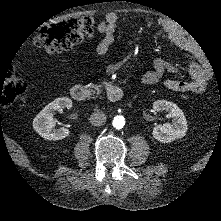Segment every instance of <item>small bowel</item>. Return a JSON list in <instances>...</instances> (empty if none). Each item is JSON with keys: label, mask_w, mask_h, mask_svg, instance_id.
I'll return each mask as SVG.
<instances>
[{"label": "small bowel", "mask_w": 221, "mask_h": 221, "mask_svg": "<svg viewBox=\"0 0 221 221\" xmlns=\"http://www.w3.org/2000/svg\"><path fill=\"white\" fill-rule=\"evenodd\" d=\"M118 16L116 13H108L106 15L105 21L98 24V32L103 35V38L96 46V54L98 56H104L108 53L111 46L115 41V31L117 28ZM162 23V21H160ZM164 37H169L171 41L177 45L179 48L191 51L193 48L192 42L184 37L176 35L171 29H167V33L163 34ZM125 60L114 62L108 65L107 71L113 73L120 69L124 64ZM176 74L179 72L177 65L162 59L157 58L153 62V70L147 71L142 76V82L144 84H156L161 79L162 75L165 73ZM188 72L191 80L183 79H166L164 81V86L175 92H192V93H202L207 88V83L209 79V73L198 63L191 61L188 64Z\"/></svg>", "instance_id": "c3829d8e"}]
</instances>
